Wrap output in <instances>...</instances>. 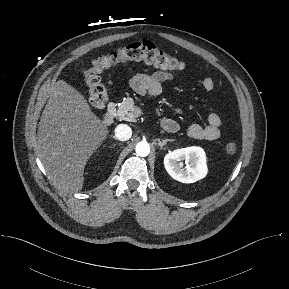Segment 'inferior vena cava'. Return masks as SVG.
<instances>
[{"mask_svg": "<svg viewBox=\"0 0 289 289\" xmlns=\"http://www.w3.org/2000/svg\"><path fill=\"white\" fill-rule=\"evenodd\" d=\"M115 136L120 141H126L131 138L132 130L126 124H119L115 128Z\"/></svg>", "mask_w": 289, "mask_h": 289, "instance_id": "inferior-vena-cava-1", "label": "inferior vena cava"}]
</instances>
